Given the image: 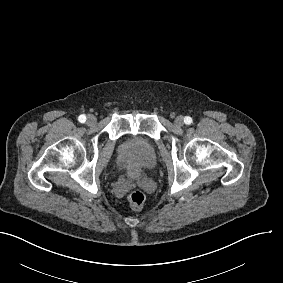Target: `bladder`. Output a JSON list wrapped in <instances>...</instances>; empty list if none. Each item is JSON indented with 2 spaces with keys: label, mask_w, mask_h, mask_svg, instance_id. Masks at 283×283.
<instances>
[{
  "label": "bladder",
  "mask_w": 283,
  "mask_h": 283,
  "mask_svg": "<svg viewBox=\"0 0 283 283\" xmlns=\"http://www.w3.org/2000/svg\"><path fill=\"white\" fill-rule=\"evenodd\" d=\"M116 157L124 168V177L132 180L144 178L158 163L155 142L141 134L124 137L117 147Z\"/></svg>",
  "instance_id": "bladder-1"
}]
</instances>
